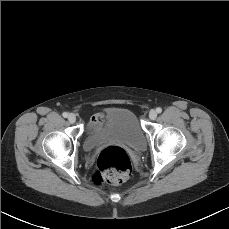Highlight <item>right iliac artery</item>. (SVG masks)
Returning a JSON list of instances; mask_svg holds the SVG:
<instances>
[{
  "instance_id": "82829eb1",
  "label": "right iliac artery",
  "mask_w": 229,
  "mask_h": 229,
  "mask_svg": "<svg viewBox=\"0 0 229 229\" xmlns=\"http://www.w3.org/2000/svg\"><path fill=\"white\" fill-rule=\"evenodd\" d=\"M62 115H63V117H65V118L68 117V113H67V112H64Z\"/></svg>"
}]
</instances>
